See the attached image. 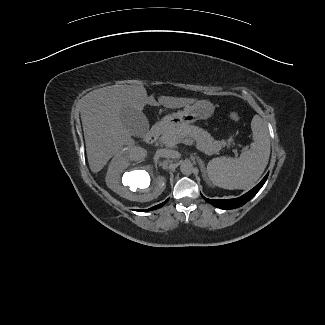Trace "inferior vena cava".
Returning a JSON list of instances; mask_svg holds the SVG:
<instances>
[{
    "mask_svg": "<svg viewBox=\"0 0 325 325\" xmlns=\"http://www.w3.org/2000/svg\"><path fill=\"white\" fill-rule=\"evenodd\" d=\"M156 155L164 158H176L178 153L170 149H159L156 151Z\"/></svg>",
    "mask_w": 325,
    "mask_h": 325,
    "instance_id": "obj_1",
    "label": "inferior vena cava"
}]
</instances>
